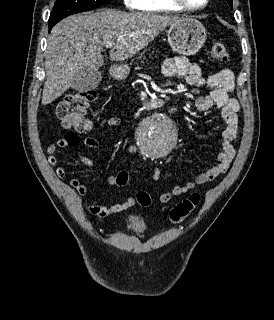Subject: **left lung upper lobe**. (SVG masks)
<instances>
[{
    "instance_id": "1",
    "label": "left lung upper lobe",
    "mask_w": 274,
    "mask_h": 320,
    "mask_svg": "<svg viewBox=\"0 0 274 320\" xmlns=\"http://www.w3.org/2000/svg\"><path fill=\"white\" fill-rule=\"evenodd\" d=\"M227 2L229 3L230 7L232 8V0H227Z\"/></svg>"
}]
</instances>
